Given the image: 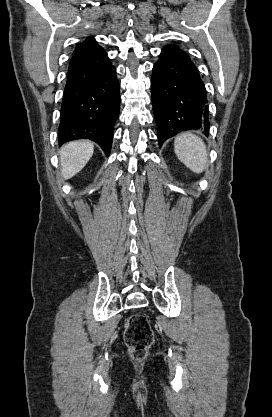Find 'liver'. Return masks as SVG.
Segmentation results:
<instances>
[{
    "label": "liver",
    "instance_id": "1",
    "mask_svg": "<svg viewBox=\"0 0 272 417\" xmlns=\"http://www.w3.org/2000/svg\"><path fill=\"white\" fill-rule=\"evenodd\" d=\"M94 145L88 140L65 144L59 151L62 177L70 179L80 172L93 155Z\"/></svg>",
    "mask_w": 272,
    "mask_h": 417
}]
</instances>
